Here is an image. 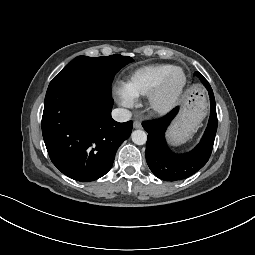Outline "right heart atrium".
Returning <instances> with one entry per match:
<instances>
[{"label": "right heart atrium", "mask_w": 255, "mask_h": 255, "mask_svg": "<svg viewBox=\"0 0 255 255\" xmlns=\"http://www.w3.org/2000/svg\"><path fill=\"white\" fill-rule=\"evenodd\" d=\"M114 90L123 106L132 107L136 103V95L131 92L127 84L119 82L116 84Z\"/></svg>", "instance_id": "d8ad5b80"}]
</instances>
